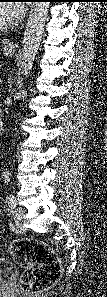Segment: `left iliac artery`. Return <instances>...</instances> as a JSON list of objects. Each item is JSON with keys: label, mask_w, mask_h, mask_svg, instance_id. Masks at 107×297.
Segmentation results:
<instances>
[{"label": "left iliac artery", "mask_w": 107, "mask_h": 297, "mask_svg": "<svg viewBox=\"0 0 107 297\" xmlns=\"http://www.w3.org/2000/svg\"><path fill=\"white\" fill-rule=\"evenodd\" d=\"M6 203L9 205L11 209L16 207V199L13 195H9L6 197Z\"/></svg>", "instance_id": "44dca946"}]
</instances>
